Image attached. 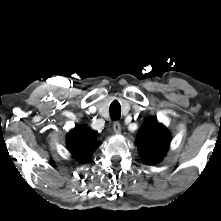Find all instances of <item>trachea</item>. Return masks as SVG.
<instances>
[{"mask_svg":"<svg viewBox=\"0 0 221 221\" xmlns=\"http://www.w3.org/2000/svg\"><path fill=\"white\" fill-rule=\"evenodd\" d=\"M109 111H110V117H111L112 120L119 119L120 115H121V105H120V103L118 101H113L110 104Z\"/></svg>","mask_w":221,"mask_h":221,"instance_id":"obj_1","label":"trachea"}]
</instances>
